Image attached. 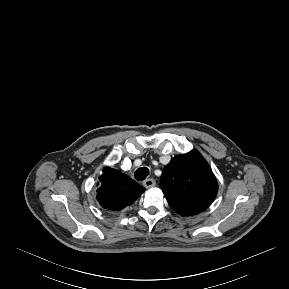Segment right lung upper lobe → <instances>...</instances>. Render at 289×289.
<instances>
[{
    "label": "right lung upper lobe",
    "mask_w": 289,
    "mask_h": 289,
    "mask_svg": "<svg viewBox=\"0 0 289 289\" xmlns=\"http://www.w3.org/2000/svg\"><path fill=\"white\" fill-rule=\"evenodd\" d=\"M99 180L97 200L103 208L109 210L119 211L125 208L145 191L144 187L126 174L110 167L103 169Z\"/></svg>",
    "instance_id": "obj_1"
}]
</instances>
